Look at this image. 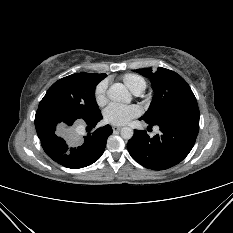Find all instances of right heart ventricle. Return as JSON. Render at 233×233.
<instances>
[{"mask_svg": "<svg viewBox=\"0 0 233 233\" xmlns=\"http://www.w3.org/2000/svg\"><path fill=\"white\" fill-rule=\"evenodd\" d=\"M121 80L127 86V88L135 94H140L145 90L147 86L146 80L142 76L137 74H124L121 77Z\"/></svg>", "mask_w": 233, "mask_h": 233, "instance_id": "right-heart-ventricle-1", "label": "right heart ventricle"}]
</instances>
